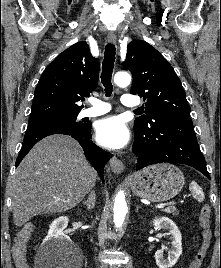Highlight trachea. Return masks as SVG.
Returning <instances> with one entry per match:
<instances>
[{
  "label": "trachea",
  "instance_id": "3493384b",
  "mask_svg": "<svg viewBox=\"0 0 221 268\" xmlns=\"http://www.w3.org/2000/svg\"><path fill=\"white\" fill-rule=\"evenodd\" d=\"M115 62V46L113 44H107L105 47L104 60L102 63L101 82L105 87L106 96L112 94L113 85L111 82L112 72Z\"/></svg>",
  "mask_w": 221,
  "mask_h": 268
}]
</instances>
